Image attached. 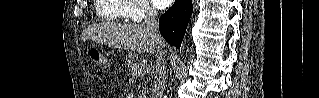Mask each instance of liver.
Returning <instances> with one entry per match:
<instances>
[{"label":"liver","instance_id":"6515ba94","mask_svg":"<svg viewBox=\"0 0 319 98\" xmlns=\"http://www.w3.org/2000/svg\"><path fill=\"white\" fill-rule=\"evenodd\" d=\"M83 38L124 50L154 54L158 44L143 24L103 23L88 26ZM165 47V43H164Z\"/></svg>","mask_w":319,"mask_h":98}]
</instances>
